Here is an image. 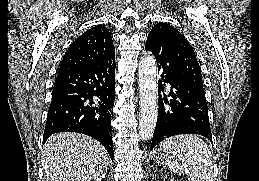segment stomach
<instances>
[{"instance_id": "obj_1", "label": "stomach", "mask_w": 259, "mask_h": 181, "mask_svg": "<svg viewBox=\"0 0 259 181\" xmlns=\"http://www.w3.org/2000/svg\"><path fill=\"white\" fill-rule=\"evenodd\" d=\"M153 157L158 162H162L164 160L169 161L171 158V151H170V149H167V150L159 149L154 152Z\"/></svg>"}]
</instances>
